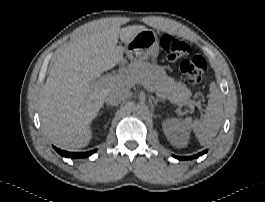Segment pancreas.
<instances>
[{
  "label": "pancreas",
  "instance_id": "obj_1",
  "mask_svg": "<svg viewBox=\"0 0 265 202\" xmlns=\"http://www.w3.org/2000/svg\"><path fill=\"white\" fill-rule=\"evenodd\" d=\"M127 76L131 82L147 83L155 93L164 95L178 104L187 105L193 111V101L190 100L191 91L185 84L168 77L162 68L149 63H131Z\"/></svg>",
  "mask_w": 265,
  "mask_h": 202
}]
</instances>
